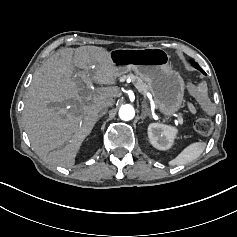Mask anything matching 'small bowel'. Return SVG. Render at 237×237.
<instances>
[{"mask_svg": "<svg viewBox=\"0 0 237 237\" xmlns=\"http://www.w3.org/2000/svg\"><path fill=\"white\" fill-rule=\"evenodd\" d=\"M200 86L206 89V87H205L204 84H200ZM188 109H189V111L192 112V113L195 112V108H194V106L191 105V104L188 105Z\"/></svg>", "mask_w": 237, "mask_h": 237, "instance_id": "small-bowel-1", "label": "small bowel"}]
</instances>
